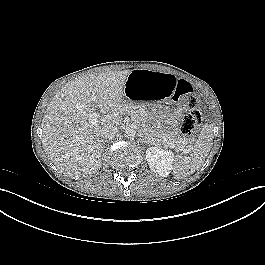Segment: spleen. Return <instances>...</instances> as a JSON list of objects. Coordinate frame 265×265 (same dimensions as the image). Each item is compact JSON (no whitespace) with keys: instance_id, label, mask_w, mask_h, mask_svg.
I'll list each match as a JSON object with an SVG mask.
<instances>
[{"instance_id":"obj_1","label":"spleen","mask_w":265,"mask_h":265,"mask_svg":"<svg viewBox=\"0 0 265 265\" xmlns=\"http://www.w3.org/2000/svg\"><path fill=\"white\" fill-rule=\"evenodd\" d=\"M212 138V130L205 129L196 143L188 149L189 156H176L172 168L175 179L185 178L202 166L211 149Z\"/></svg>"}]
</instances>
